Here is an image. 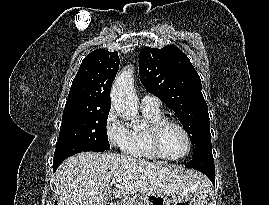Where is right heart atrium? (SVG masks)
Segmentation results:
<instances>
[{
    "mask_svg": "<svg viewBox=\"0 0 269 205\" xmlns=\"http://www.w3.org/2000/svg\"><path fill=\"white\" fill-rule=\"evenodd\" d=\"M104 131L109 144L124 150L130 140V130L118 119L116 111L111 108L104 120Z\"/></svg>",
    "mask_w": 269,
    "mask_h": 205,
    "instance_id": "obj_1",
    "label": "right heart atrium"
}]
</instances>
